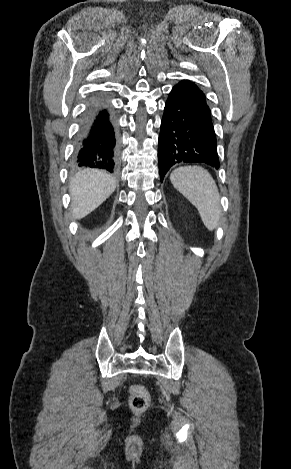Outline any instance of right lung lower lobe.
Wrapping results in <instances>:
<instances>
[{
	"label": "right lung lower lobe",
	"mask_w": 291,
	"mask_h": 469,
	"mask_svg": "<svg viewBox=\"0 0 291 469\" xmlns=\"http://www.w3.org/2000/svg\"><path fill=\"white\" fill-rule=\"evenodd\" d=\"M119 143L112 113L101 104H91L83 115L73 165L113 172L118 165Z\"/></svg>",
	"instance_id": "1"
}]
</instances>
